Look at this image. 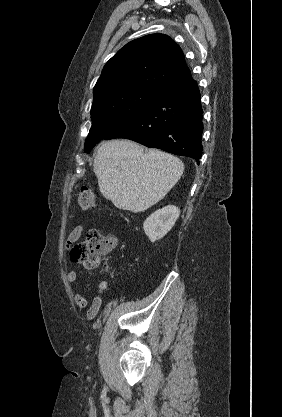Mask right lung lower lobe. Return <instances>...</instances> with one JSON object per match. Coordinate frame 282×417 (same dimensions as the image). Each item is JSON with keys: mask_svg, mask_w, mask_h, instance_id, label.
<instances>
[{"mask_svg": "<svg viewBox=\"0 0 282 417\" xmlns=\"http://www.w3.org/2000/svg\"><path fill=\"white\" fill-rule=\"evenodd\" d=\"M202 112L197 82L189 76L161 89L104 139H131L147 147L191 157L199 164Z\"/></svg>", "mask_w": 282, "mask_h": 417, "instance_id": "98d812e1", "label": "right lung lower lobe"}]
</instances>
